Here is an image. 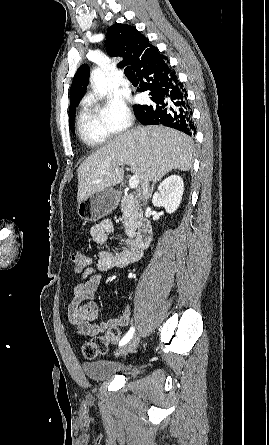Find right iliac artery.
Listing matches in <instances>:
<instances>
[{"label":"right iliac artery","instance_id":"82829eb1","mask_svg":"<svg viewBox=\"0 0 269 445\" xmlns=\"http://www.w3.org/2000/svg\"><path fill=\"white\" fill-rule=\"evenodd\" d=\"M133 334H134V327H131L130 330L127 332V334L122 338L119 345L122 346V345L126 344L128 341H130Z\"/></svg>","mask_w":269,"mask_h":445}]
</instances>
